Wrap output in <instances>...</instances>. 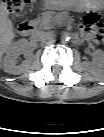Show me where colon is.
<instances>
[{
    "mask_svg": "<svg viewBox=\"0 0 104 137\" xmlns=\"http://www.w3.org/2000/svg\"><path fill=\"white\" fill-rule=\"evenodd\" d=\"M7 8L14 16L19 15L25 8L28 0H4ZM84 33L94 41L100 42L103 39L104 26L101 18L95 12H86L82 19Z\"/></svg>",
    "mask_w": 104,
    "mask_h": 137,
    "instance_id": "obj_1",
    "label": "colon"
}]
</instances>
